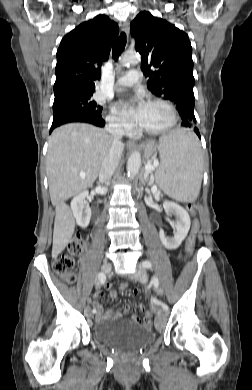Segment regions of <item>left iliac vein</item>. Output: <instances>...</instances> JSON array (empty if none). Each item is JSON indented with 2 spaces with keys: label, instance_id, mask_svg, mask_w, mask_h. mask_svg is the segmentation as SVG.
<instances>
[{
  "label": "left iliac vein",
  "instance_id": "obj_1",
  "mask_svg": "<svg viewBox=\"0 0 252 390\" xmlns=\"http://www.w3.org/2000/svg\"><path fill=\"white\" fill-rule=\"evenodd\" d=\"M134 279L138 280L139 282H146L147 280V273L146 270L143 267H138L137 270L135 271L133 275ZM158 293H163V290L161 288H158L157 290ZM154 312L157 316L158 320H162L166 314V312L160 308L154 307Z\"/></svg>",
  "mask_w": 252,
  "mask_h": 390
}]
</instances>
